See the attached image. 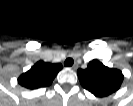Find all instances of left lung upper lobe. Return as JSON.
Here are the masks:
<instances>
[{"label": "left lung upper lobe", "instance_id": "left-lung-upper-lobe-1", "mask_svg": "<svg viewBox=\"0 0 133 106\" xmlns=\"http://www.w3.org/2000/svg\"><path fill=\"white\" fill-rule=\"evenodd\" d=\"M77 74L82 86L97 97L117 91L124 78L120 70L108 68L98 60L91 61L84 70L78 69Z\"/></svg>", "mask_w": 133, "mask_h": 106}]
</instances>
